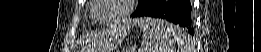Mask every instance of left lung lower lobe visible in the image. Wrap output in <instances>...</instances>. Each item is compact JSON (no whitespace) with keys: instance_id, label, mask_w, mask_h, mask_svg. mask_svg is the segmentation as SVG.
<instances>
[{"instance_id":"obj_1","label":"left lung lower lobe","mask_w":261,"mask_h":52,"mask_svg":"<svg viewBox=\"0 0 261 52\" xmlns=\"http://www.w3.org/2000/svg\"><path fill=\"white\" fill-rule=\"evenodd\" d=\"M192 6L189 0H153L133 17L150 16L166 19L194 34ZM172 37L171 34H168Z\"/></svg>"}]
</instances>
